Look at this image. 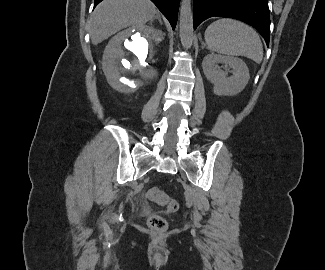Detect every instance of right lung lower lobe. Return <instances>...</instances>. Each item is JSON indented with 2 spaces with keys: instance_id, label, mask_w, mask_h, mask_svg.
Returning a JSON list of instances; mask_svg holds the SVG:
<instances>
[{
  "instance_id": "right-lung-lower-lobe-1",
  "label": "right lung lower lobe",
  "mask_w": 325,
  "mask_h": 270,
  "mask_svg": "<svg viewBox=\"0 0 325 270\" xmlns=\"http://www.w3.org/2000/svg\"><path fill=\"white\" fill-rule=\"evenodd\" d=\"M102 0H94V6ZM162 14L169 20L173 29H175L180 0H151Z\"/></svg>"
}]
</instances>
